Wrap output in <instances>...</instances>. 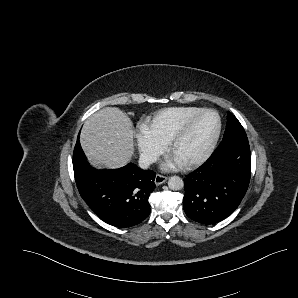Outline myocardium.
Returning a JSON list of instances; mask_svg holds the SVG:
<instances>
[{"label": "myocardium", "instance_id": "f54148a6", "mask_svg": "<svg viewBox=\"0 0 298 298\" xmlns=\"http://www.w3.org/2000/svg\"><path fill=\"white\" fill-rule=\"evenodd\" d=\"M205 114H211L214 116L216 121V129L212 136V138L208 141L204 149L193 159L185 163L184 165L187 167H192L197 164L202 163L206 158L210 155L214 145L216 144L219 136H220V130H221V121L218 116V114L210 109H202L201 111L189 116L185 120H183L181 123L175 126V128L172 130V132L166 137V141L168 144V153L170 154L173 147L179 140V138L188 130V128L193 124V122L198 119L199 117L205 115Z\"/></svg>", "mask_w": 298, "mask_h": 298}]
</instances>
